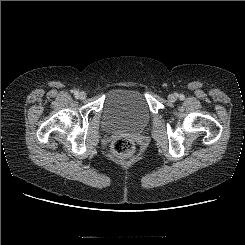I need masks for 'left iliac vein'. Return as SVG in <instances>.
<instances>
[{
	"instance_id": "left-iliac-vein-1",
	"label": "left iliac vein",
	"mask_w": 245,
	"mask_h": 245,
	"mask_svg": "<svg viewBox=\"0 0 245 245\" xmlns=\"http://www.w3.org/2000/svg\"><path fill=\"white\" fill-rule=\"evenodd\" d=\"M168 100H169L170 102H175V101L177 100V96H176L175 94H170V95L168 96Z\"/></svg>"
}]
</instances>
